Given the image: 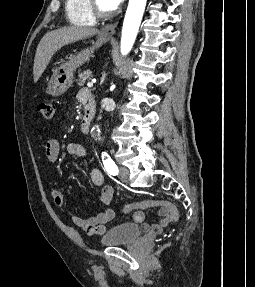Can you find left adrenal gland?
I'll use <instances>...</instances> for the list:
<instances>
[{
	"mask_svg": "<svg viewBox=\"0 0 255 287\" xmlns=\"http://www.w3.org/2000/svg\"><path fill=\"white\" fill-rule=\"evenodd\" d=\"M105 78H106V74H103V76H102V78H101L100 86H101V84H103Z\"/></svg>",
	"mask_w": 255,
	"mask_h": 287,
	"instance_id": "a2214340",
	"label": "left adrenal gland"
}]
</instances>
